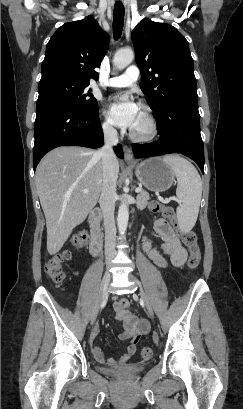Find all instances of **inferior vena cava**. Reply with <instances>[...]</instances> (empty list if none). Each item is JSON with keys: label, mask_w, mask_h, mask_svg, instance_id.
I'll list each match as a JSON object with an SVG mask.
<instances>
[{"label": "inferior vena cava", "mask_w": 243, "mask_h": 409, "mask_svg": "<svg viewBox=\"0 0 243 409\" xmlns=\"http://www.w3.org/2000/svg\"><path fill=\"white\" fill-rule=\"evenodd\" d=\"M104 146L99 149L98 154L102 158L103 182L101 196L99 199L103 214L105 228V258L111 261L115 256L116 226L114 210L116 202V183L118 172L116 169L117 158L113 146L118 143L117 131L111 125L103 126Z\"/></svg>", "instance_id": "inferior-vena-cava-1"}]
</instances>
